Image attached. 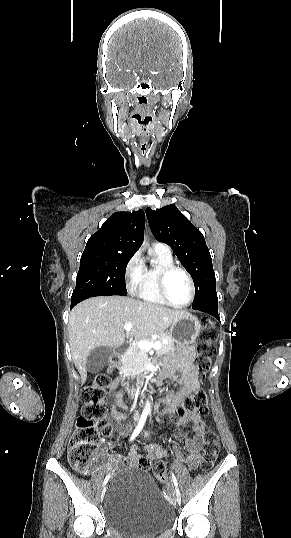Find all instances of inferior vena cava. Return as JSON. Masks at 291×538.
I'll use <instances>...</instances> for the list:
<instances>
[{
    "instance_id": "obj_1",
    "label": "inferior vena cava",
    "mask_w": 291,
    "mask_h": 538,
    "mask_svg": "<svg viewBox=\"0 0 291 538\" xmlns=\"http://www.w3.org/2000/svg\"><path fill=\"white\" fill-rule=\"evenodd\" d=\"M138 415H139L138 411H135V414H134V420H135V421H137V419H138Z\"/></svg>"
}]
</instances>
